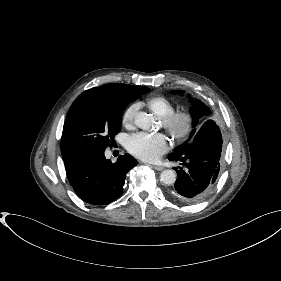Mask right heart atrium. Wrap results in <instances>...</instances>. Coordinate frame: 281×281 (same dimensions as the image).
<instances>
[{
    "instance_id": "obj_1",
    "label": "right heart atrium",
    "mask_w": 281,
    "mask_h": 281,
    "mask_svg": "<svg viewBox=\"0 0 281 281\" xmlns=\"http://www.w3.org/2000/svg\"><path fill=\"white\" fill-rule=\"evenodd\" d=\"M138 111V104L129 105L122 114V123L125 126H131L134 122L135 115Z\"/></svg>"
}]
</instances>
